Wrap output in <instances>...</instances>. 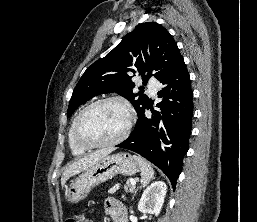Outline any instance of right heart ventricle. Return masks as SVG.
<instances>
[{"label":"right heart ventricle","instance_id":"obj_1","mask_svg":"<svg viewBox=\"0 0 257 222\" xmlns=\"http://www.w3.org/2000/svg\"><path fill=\"white\" fill-rule=\"evenodd\" d=\"M77 118V117H76ZM76 118L73 120V122L70 125L69 131H68V143H69V148L72 152L73 155H81L86 152L87 149L80 147L79 145L76 144L73 138V126L75 123Z\"/></svg>","mask_w":257,"mask_h":222}]
</instances>
